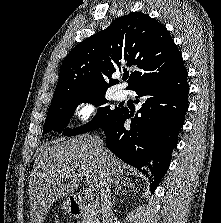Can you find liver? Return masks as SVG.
Returning <instances> with one entry per match:
<instances>
[{
    "label": "liver",
    "mask_w": 221,
    "mask_h": 223,
    "mask_svg": "<svg viewBox=\"0 0 221 223\" xmlns=\"http://www.w3.org/2000/svg\"><path fill=\"white\" fill-rule=\"evenodd\" d=\"M123 168L121 161L105 147L101 154L96 136L89 134L54 141L53 145L41 148L29 182L30 223H43L53 202L73 193L80 182L99 192L102 175L106 173L111 182L118 184L125 178ZM71 175H76L79 181L61 183Z\"/></svg>",
    "instance_id": "1"
}]
</instances>
